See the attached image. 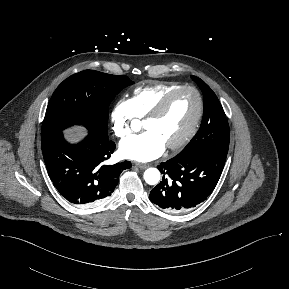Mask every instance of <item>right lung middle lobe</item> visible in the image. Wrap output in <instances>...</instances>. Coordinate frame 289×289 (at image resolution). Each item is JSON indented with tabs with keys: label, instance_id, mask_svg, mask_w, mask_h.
<instances>
[{
	"label": "right lung middle lobe",
	"instance_id": "obj_1",
	"mask_svg": "<svg viewBox=\"0 0 289 289\" xmlns=\"http://www.w3.org/2000/svg\"><path fill=\"white\" fill-rule=\"evenodd\" d=\"M128 77L85 70L64 80L53 93L42 123L41 139L83 125L89 135L108 139V108L115 96L132 85Z\"/></svg>",
	"mask_w": 289,
	"mask_h": 289
}]
</instances>
